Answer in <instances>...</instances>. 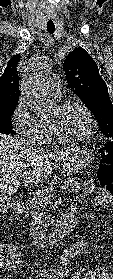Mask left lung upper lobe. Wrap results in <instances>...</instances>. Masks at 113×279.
<instances>
[{
    "label": "left lung upper lobe",
    "instance_id": "obj_1",
    "mask_svg": "<svg viewBox=\"0 0 113 279\" xmlns=\"http://www.w3.org/2000/svg\"><path fill=\"white\" fill-rule=\"evenodd\" d=\"M68 85L95 116L102 133L113 138V106L96 62L83 48L74 49L64 60Z\"/></svg>",
    "mask_w": 113,
    "mask_h": 279
}]
</instances>
